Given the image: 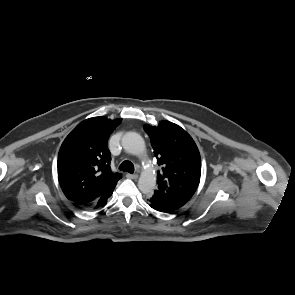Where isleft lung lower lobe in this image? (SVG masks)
Segmentation results:
<instances>
[{"instance_id": "obj_1", "label": "left lung lower lobe", "mask_w": 295, "mask_h": 295, "mask_svg": "<svg viewBox=\"0 0 295 295\" xmlns=\"http://www.w3.org/2000/svg\"><path fill=\"white\" fill-rule=\"evenodd\" d=\"M148 201L151 208L165 213L177 210L187 202L186 200L168 195L158 190H155L154 194L150 195Z\"/></svg>"}]
</instances>
